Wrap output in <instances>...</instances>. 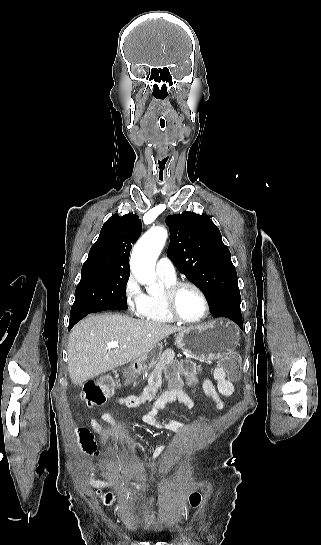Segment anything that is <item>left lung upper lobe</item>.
<instances>
[{
	"mask_svg": "<svg viewBox=\"0 0 321 545\" xmlns=\"http://www.w3.org/2000/svg\"><path fill=\"white\" fill-rule=\"evenodd\" d=\"M166 224L171 240L168 256L208 298L210 307L240 296L231 254L222 242L218 227L205 213L169 215Z\"/></svg>",
	"mask_w": 321,
	"mask_h": 545,
	"instance_id": "obj_1",
	"label": "left lung upper lobe"
}]
</instances>
